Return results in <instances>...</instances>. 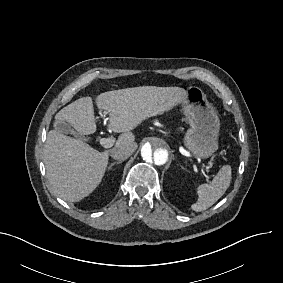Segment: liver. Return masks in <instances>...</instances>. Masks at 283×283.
<instances>
[{
    "mask_svg": "<svg viewBox=\"0 0 283 283\" xmlns=\"http://www.w3.org/2000/svg\"><path fill=\"white\" fill-rule=\"evenodd\" d=\"M180 87L139 86L99 94L96 104L109 113L108 127L122 134L116 145L137 148L130 130L143 120L161 115L187 98ZM55 119L67 121L83 135L96 132L93 101L80 98L61 109ZM109 152H99L80 139L66 136L57 130L47 134L44 149L46 176L54 192L63 200L78 202L99 185L108 164Z\"/></svg>",
    "mask_w": 283,
    "mask_h": 283,
    "instance_id": "obj_1",
    "label": "liver"
}]
</instances>
